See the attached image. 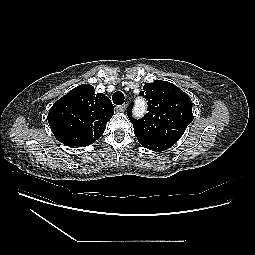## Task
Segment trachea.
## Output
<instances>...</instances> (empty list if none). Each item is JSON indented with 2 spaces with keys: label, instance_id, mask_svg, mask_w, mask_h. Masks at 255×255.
Listing matches in <instances>:
<instances>
[{
  "label": "trachea",
  "instance_id": "obj_1",
  "mask_svg": "<svg viewBox=\"0 0 255 255\" xmlns=\"http://www.w3.org/2000/svg\"><path fill=\"white\" fill-rule=\"evenodd\" d=\"M124 99V94L120 91L115 92L112 96L113 103L116 105H122L125 101Z\"/></svg>",
  "mask_w": 255,
  "mask_h": 255
}]
</instances>
